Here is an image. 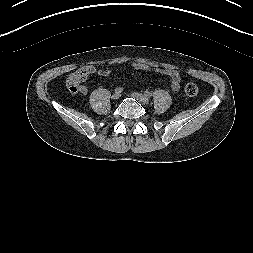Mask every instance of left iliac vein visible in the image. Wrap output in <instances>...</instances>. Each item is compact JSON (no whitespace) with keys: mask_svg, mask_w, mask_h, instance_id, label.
<instances>
[{"mask_svg":"<svg viewBox=\"0 0 253 253\" xmlns=\"http://www.w3.org/2000/svg\"><path fill=\"white\" fill-rule=\"evenodd\" d=\"M131 95H132L137 101H139V102H141V103L147 104V103L149 102V99H148L145 95H143V94H141V93L133 92Z\"/></svg>","mask_w":253,"mask_h":253,"instance_id":"obj_1","label":"left iliac vein"}]
</instances>
